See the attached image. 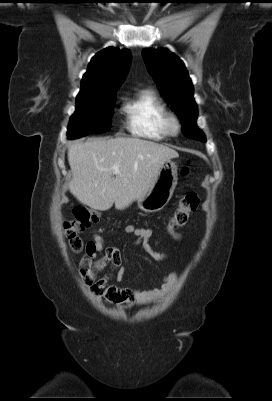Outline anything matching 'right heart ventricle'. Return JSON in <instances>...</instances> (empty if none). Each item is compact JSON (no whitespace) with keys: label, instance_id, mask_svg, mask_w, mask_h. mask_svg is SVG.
<instances>
[{"label":"right heart ventricle","instance_id":"e07e8e85","mask_svg":"<svg viewBox=\"0 0 272 401\" xmlns=\"http://www.w3.org/2000/svg\"><path fill=\"white\" fill-rule=\"evenodd\" d=\"M126 126L139 137L162 140L170 134L166 128L168 108L162 98L151 89L140 90L123 105Z\"/></svg>","mask_w":272,"mask_h":401}]
</instances>
